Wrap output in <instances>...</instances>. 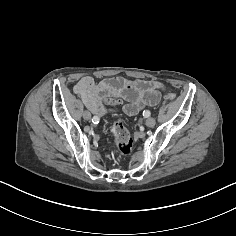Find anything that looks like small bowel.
<instances>
[{"label": "small bowel", "mask_w": 236, "mask_h": 236, "mask_svg": "<svg viewBox=\"0 0 236 236\" xmlns=\"http://www.w3.org/2000/svg\"><path fill=\"white\" fill-rule=\"evenodd\" d=\"M160 89L162 85L156 81L121 77L96 83L91 76H84L74 86V92L97 117L107 112V108L100 103L102 98L111 96L125 99L127 102L123 111L128 115H135L143 107L155 105L159 101Z\"/></svg>", "instance_id": "1"}]
</instances>
